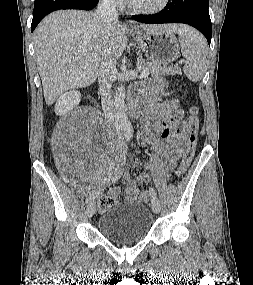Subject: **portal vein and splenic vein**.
<instances>
[{"mask_svg":"<svg viewBox=\"0 0 253 285\" xmlns=\"http://www.w3.org/2000/svg\"><path fill=\"white\" fill-rule=\"evenodd\" d=\"M139 71L141 73V75H140L141 78H145L149 75V70H143L142 71L141 69H139Z\"/></svg>","mask_w":253,"mask_h":285,"instance_id":"obj_1","label":"portal vein and splenic vein"}]
</instances>
